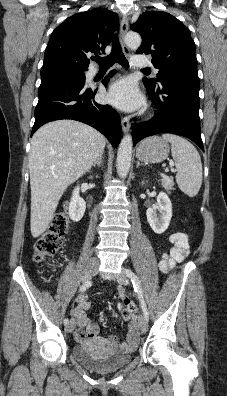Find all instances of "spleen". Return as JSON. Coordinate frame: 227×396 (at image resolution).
Listing matches in <instances>:
<instances>
[{"instance_id":"obj_1","label":"spleen","mask_w":227,"mask_h":396,"mask_svg":"<svg viewBox=\"0 0 227 396\" xmlns=\"http://www.w3.org/2000/svg\"><path fill=\"white\" fill-rule=\"evenodd\" d=\"M162 138L171 143V153L177 168L176 182L180 190L194 197L202 184V163L198 151L180 136L163 134Z\"/></svg>"}]
</instances>
